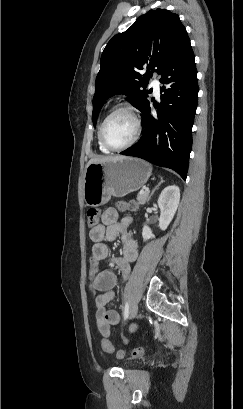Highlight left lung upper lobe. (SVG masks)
Instances as JSON below:
<instances>
[{
    "label": "left lung upper lobe",
    "instance_id": "left-lung-upper-lobe-1",
    "mask_svg": "<svg viewBox=\"0 0 243 409\" xmlns=\"http://www.w3.org/2000/svg\"><path fill=\"white\" fill-rule=\"evenodd\" d=\"M188 40L179 16L160 8L141 15L129 29L112 37L102 53L96 78L93 125L103 102L115 94H125L142 111L152 92L146 89L152 72L156 68L161 74ZM143 67L147 72L142 75Z\"/></svg>",
    "mask_w": 243,
    "mask_h": 409
}]
</instances>
